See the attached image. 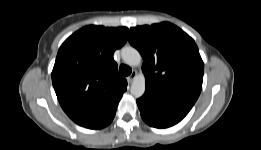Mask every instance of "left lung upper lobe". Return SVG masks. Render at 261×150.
Masks as SVG:
<instances>
[{
    "instance_id": "5c2ea615",
    "label": "left lung upper lobe",
    "mask_w": 261,
    "mask_h": 150,
    "mask_svg": "<svg viewBox=\"0 0 261 150\" xmlns=\"http://www.w3.org/2000/svg\"><path fill=\"white\" fill-rule=\"evenodd\" d=\"M129 42L143 57L145 93L194 105L202 89L204 63L188 34L163 22L131 28Z\"/></svg>"
}]
</instances>
